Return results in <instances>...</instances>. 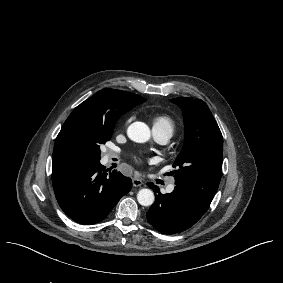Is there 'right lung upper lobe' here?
I'll return each mask as SVG.
<instances>
[{
    "label": "right lung upper lobe",
    "instance_id": "cb5924a9",
    "mask_svg": "<svg viewBox=\"0 0 283 283\" xmlns=\"http://www.w3.org/2000/svg\"><path fill=\"white\" fill-rule=\"evenodd\" d=\"M145 98L129 92L103 89L77 106L59 132L53 150L52 181L68 177L93 164L84 150L83 135L97 126H108Z\"/></svg>",
    "mask_w": 283,
    "mask_h": 283
}]
</instances>
